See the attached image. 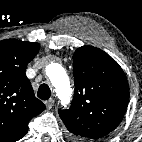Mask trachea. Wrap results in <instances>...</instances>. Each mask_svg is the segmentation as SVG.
Segmentation results:
<instances>
[{"mask_svg":"<svg viewBox=\"0 0 142 142\" xmlns=\"http://www.w3.org/2000/svg\"><path fill=\"white\" fill-rule=\"evenodd\" d=\"M37 96L42 100H48L51 96V90L49 86L47 84L40 85Z\"/></svg>","mask_w":142,"mask_h":142,"instance_id":"3493384b","label":"trachea"}]
</instances>
